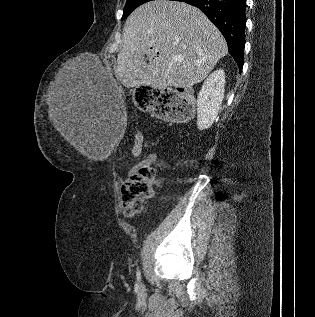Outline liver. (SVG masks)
<instances>
[{"instance_id": "6515ba94", "label": "liver", "mask_w": 315, "mask_h": 317, "mask_svg": "<svg viewBox=\"0 0 315 317\" xmlns=\"http://www.w3.org/2000/svg\"><path fill=\"white\" fill-rule=\"evenodd\" d=\"M227 52L224 37L199 9L183 2L155 0L127 18L116 76L126 88H190L204 80ZM64 83L54 88L49 117L56 130L85 154L82 119Z\"/></svg>"}]
</instances>
